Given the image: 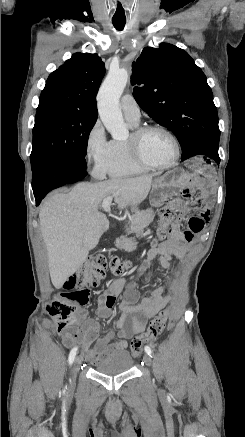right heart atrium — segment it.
<instances>
[{
	"instance_id": "right-heart-atrium-1",
	"label": "right heart atrium",
	"mask_w": 245,
	"mask_h": 437,
	"mask_svg": "<svg viewBox=\"0 0 245 437\" xmlns=\"http://www.w3.org/2000/svg\"><path fill=\"white\" fill-rule=\"evenodd\" d=\"M112 141L108 139L101 121L97 120L88 132L85 143V159L96 177L106 174L111 156Z\"/></svg>"
}]
</instances>
